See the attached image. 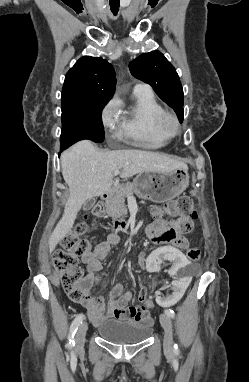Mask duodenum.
I'll list each match as a JSON object with an SVG mask.
<instances>
[{"label":"duodenum","mask_w":249,"mask_h":382,"mask_svg":"<svg viewBox=\"0 0 249 382\" xmlns=\"http://www.w3.org/2000/svg\"><path fill=\"white\" fill-rule=\"evenodd\" d=\"M111 193H112V189H108L106 190L103 194H102V199L103 200H108L111 196ZM125 226V223H119V222H116L115 223V227H124Z\"/></svg>","instance_id":"1"}]
</instances>
